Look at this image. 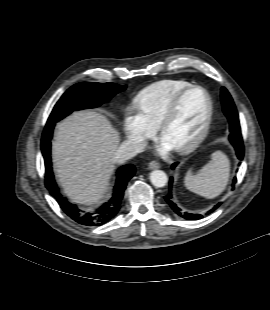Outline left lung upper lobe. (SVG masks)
I'll list each match as a JSON object with an SVG mask.
<instances>
[{"mask_svg": "<svg viewBox=\"0 0 270 310\" xmlns=\"http://www.w3.org/2000/svg\"><path fill=\"white\" fill-rule=\"evenodd\" d=\"M221 101L223 112L229 121L230 142L242 139L239 118L235 104L233 102L231 95L224 87H222L221 89Z\"/></svg>", "mask_w": 270, "mask_h": 310, "instance_id": "obj_1", "label": "left lung upper lobe"}]
</instances>
